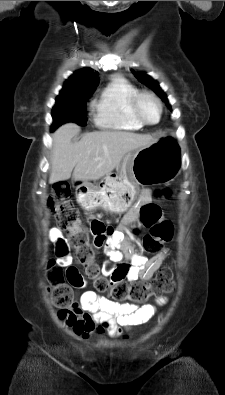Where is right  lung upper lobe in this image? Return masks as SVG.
<instances>
[{
    "instance_id": "cb5924a9",
    "label": "right lung upper lobe",
    "mask_w": 225,
    "mask_h": 395,
    "mask_svg": "<svg viewBox=\"0 0 225 395\" xmlns=\"http://www.w3.org/2000/svg\"><path fill=\"white\" fill-rule=\"evenodd\" d=\"M98 73L92 69L84 68L76 71L63 86L62 92L86 93L93 92L99 82Z\"/></svg>"
}]
</instances>
